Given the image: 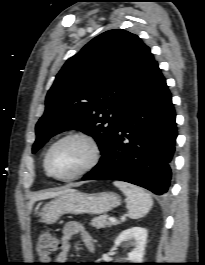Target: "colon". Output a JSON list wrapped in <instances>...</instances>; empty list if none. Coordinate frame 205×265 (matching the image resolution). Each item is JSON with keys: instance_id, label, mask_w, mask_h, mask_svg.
I'll use <instances>...</instances> for the list:
<instances>
[{"instance_id": "5ec220e1", "label": "colon", "mask_w": 205, "mask_h": 265, "mask_svg": "<svg viewBox=\"0 0 205 265\" xmlns=\"http://www.w3.org/2000/svg\"><path fill=\"white\" fill-rule=\"evenodd\" d=\"M59 243L54 235L49 231H42L36 241V250L39 257L47 261L58 250Z\"/></svg>"}]
</instances>
